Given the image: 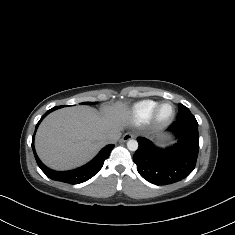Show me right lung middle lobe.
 Segmentation results:
<instances>
[{
    "instance_id": "1",
    "label": "right lung middle lobe",
    "mask_w": 235,
    "mask_h": 235,
    "mask_svg": "<svg viewBox=\"0 0 235 235\" xmlns=\"http://www.w3.org/2000/svg\"><path fill=\"white\" fill-rule=\"evenodd\" d=\"M96 102H84V103H82V104H89V105H92V104H95ZM61 107H63V106H56V107H54L53 109H58V108H61Z\"/></svg>"
}]
</instances>
